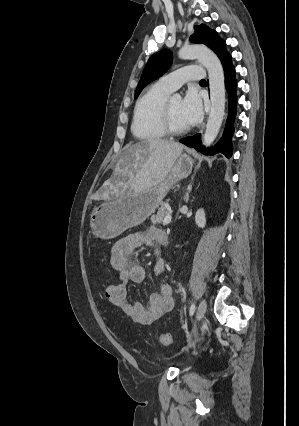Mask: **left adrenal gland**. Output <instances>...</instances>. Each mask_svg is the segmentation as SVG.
Masks as SVG:
<instances>
[{
    "label": "left adrenal gland",
    "mask_w": 299,
    "mask_h": 426,
    "mask_svg": "<svg viewBox=\"0 0 299 426\" xmlns=\"http://www.w3.org/2000/svg\"><path fill=\"white\" fill-rule=\"evenodd\" d=\"M191 190H192V184H189L185 198H184L186 202H188V200H189V193L191 192Z\"/></svg>",
    "instance_id": "1"
}]
</instances>
